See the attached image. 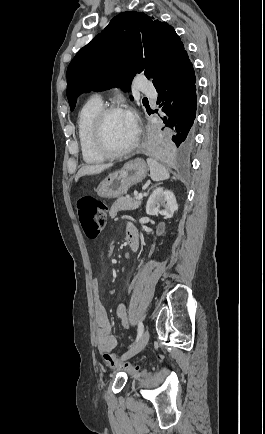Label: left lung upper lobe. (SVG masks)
<instances>
[{
  "mask_svg": "<svg viewBox=\"0 0 265 434\" xmlns=\"http://www.w3.org/2000/svg\"><path fill=\"white\" fill-rule=\"evenodd\" d=\"M186 54L168 23L141 12H122L70 62L66 92L70 108L84 91L115 86L129 91L137 73L152 79L158 89Z\"/></svg>",
  "mask_w": 265,
  "mask_h": 434,
  "instance_id": "5c2ea615",
  "label": "left lung upper lobe"
}]
</instances>
